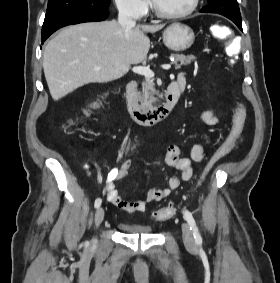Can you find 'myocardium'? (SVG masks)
Returning a JSON list of instances; mask_svg holds the SVG:
<instances>
[{
    "instance_id": "obj_1",
    "label": "myocardium",
    "mask_w": 280,
    "mask_h": 283,
    "mask_svg": "<svg viewBox=\"0 0 280 283\" xmlns=\"http://www.w3.org/2000/svg\"><path fill=\"white\" fill-rule=\"evenodd\" d=\"M199 1L200 0H192V3L190 5V7L183 12L180 13H175V14H170V13H165L163 11H161L156 3L155 0H151V6L153 9V12L155 13V15L161 19H165V20H179V19H183L186 18L188 16H190L192 13H194V11L197 9L198 5H199Z\"/></svg>"
}]
</instances>
